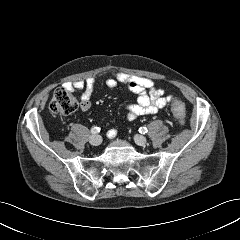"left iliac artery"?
<instances>
[{"mask_svg": "<svg viewBox=\"0 0 240 240\" xmlns=\"http://www.w3.org/2000/svg\"><path fill=\"white\" fill-rule=\"evenodd\" d=\"M147 128L146 127H140L139 128V132L141 133V134H145V133H147Z\"/></svg>", "mask_w": 240, "mask_h": 240, "instance_id": "left-iliac-artery-1", "label": "left iliac artery"}]
</instances>
